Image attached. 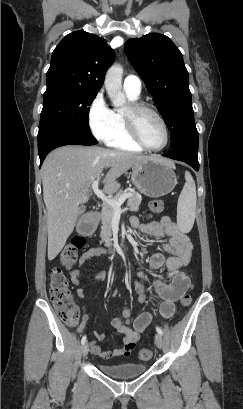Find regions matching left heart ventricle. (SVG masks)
<instances>
[{"instance_id": "obj_1", "label": "left heart ventricle", "mask_w": 243, "mask_h": 409, "mask_svg": "<svg viewBox=\"0 0 243 409\" xmlns=\"http://www.w3.org/2000/svg\"><path fill=\"white\" fill-rule=\"evenodd\" d=\"M126 109V108H125ZM137 126L143 141L151 147H160L165 141L163 128L158 119L149 112L137 117Z\"/></svg>"}]
</instances>
